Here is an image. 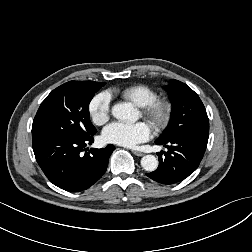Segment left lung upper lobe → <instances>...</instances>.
<instances>
[{"label":"left lung upper lobe","instance_id":"left-lung-upper-lobe-1","mask_svg":"<svg viewBox=\"0 0 252 252\" xmlns=\"http://www.w3.org/2000/svg\"><path fill=\"white\" fill-rule=\"evenodd\" d=\"M167 91L172 103V120L157 139L168 141L186 133L209 134V120L199 96L186 84L171 80Z\"/></svg>","mask_w":252,"mask_h":252}]
</instances>
